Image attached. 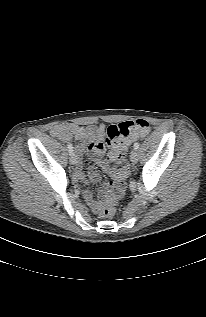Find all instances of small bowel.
Returning <instances> with one entry per match:
<instances>
[{"label":"small bowel","mask_w":206,"mask_h":317,"mask_svg":"<svg viewBox=\"0 0 206 317\" xmlns=\"http://www.w3.org/2000/svg\"><path fill=\"white\" fill-rule=\"evenodd\" d=\"M51 134L58 138L62 142H68L73 137H75L77 140L82 141L86 137H93L95 138L87 147V151L91 159L94 161H99L100 157L105 151V146L103 143V137H104V125H99L98 127H81L75 124H60L56 125L51 129ZM76 155L80 156L84 152V146L82 144L78 145L75 149ZM113 156V151L110 153V158ZM107 172L110 173L111 167L105 166L104 167ZM86 175L92 180V181H98L99 177L94 167L90 166L88 167L86 173H84L81 169V165L78 162L74 177L78 181H83L86 177ZM83 197L85 201L88 203V205L94 210L97 211L99 204L95 200L92 193L89 191L83 192Z\"/></svg>","instance_id":"obj_1"}]
</instances>
